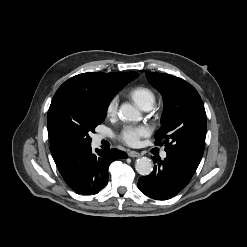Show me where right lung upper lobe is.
Masks as SVG:
<instances>
[{"label": "right lung upper lobe", "mask_w": 247, "mask_h": 247, "mask_svg": "<svg viewBox=\"0 0 247 247\" xmlns=\"http://www.w3.org/2000/svg\"><path fill=\"white\" fill-rule=\"evenodd\" d=\"M138 76L139 74L136 72L82 73L65 81L56 91L52 100L63 95H81L93 97L103 102H111L119 90ZM48 135L50 151L56 165L62 163L71 153L78 149L65 142L50 122L48 123Z\"/></svg>", "instance_id": "cb5924a9"}]
</instances>
